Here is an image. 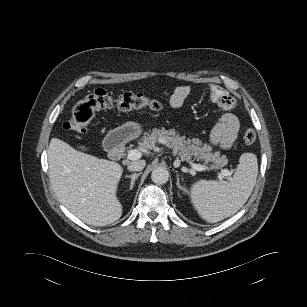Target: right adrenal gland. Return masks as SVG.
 <instances>
[{
    "label": "right adrenal gland",
    "mask_w": 307,
    "mask_h": 307,
    "mask_svg": "<svg viewBox=\"0 0 307 307\" xmlns=\"http://www.w3.org/2000/svg\"><path fill=\"white\" fill-rule=\"evenodd\" d=\"M141 175V173H134L132 175H126V178H130L131 179V183H130V190L133 189L135 180Z\"/></svg>",
    "instance_id": "1"
}]
</instances>
